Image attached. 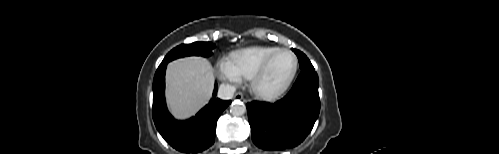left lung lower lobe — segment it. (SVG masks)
Here are the masks:
<instances>
[{
	"mask_svg": "<svg viewBox=\"0 0 499 154\" xmlns=\"http://www.w3.org/2000/svg\"><path fill=\"white\" fill-rule=\"evenodd\" d=\"M318 85V75L314 70H302L281 100L248 103L254 144L266 151H279L300 144L312 130L320 112Z\"/></svg>",
	"mask_w": 499,
	"mask_h": 154,
	"instance_id": "1",
	"label": "left lung lower lobe"
}]
</instances>
